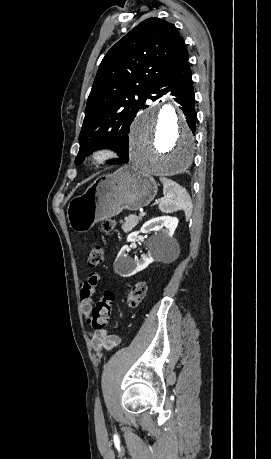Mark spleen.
<instances>
[{"instance_id": "3e777b00", "label": "spleen", "mask_w": 271, "mask_h": 459, "mask_svg": "<svg viewBox=\"0 0 271 459\" xmlns=\"http://www.w3.org/2000/svg\"><path fill=\"white\" fill-rule=\"evenodd\" d=\"M160 182L163 184L164 198L159 204V210L171 214V212H177V210H184L186 220H190L192 214V202L191 200H185L183 194H180L179 184L168 180V178H160Z\"/></svg>"}]
</instances>
